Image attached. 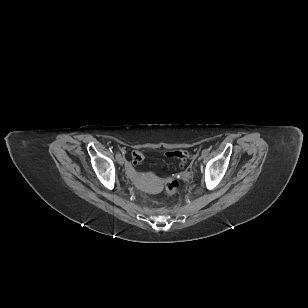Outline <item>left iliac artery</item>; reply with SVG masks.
Instances as JSON below:
<instances>
[{
  "instance_id": "obj_1",
  "label": "left iliac artery",
  "mask_w": 308,
  "mask_h": 308,
  "mask_svg": "<svg viewBox=\"0 0 308 308\" xmlns=\"http://www.w3.org/2000/svg\"><path fill=\"white\" fill-rule=\"evenodd\" d=\"M203 152H204L205 154H208L209 150H208V149H207V150H203Z\"/></svg>"
}]
</instances>
